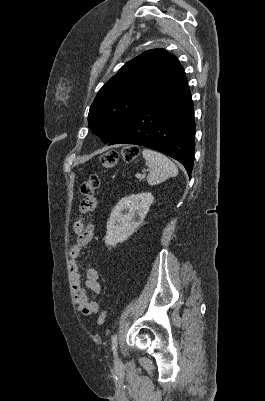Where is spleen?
<instances>
[{
  "instance_id": "spleen-1",
  "label": "spleen",
  "mask_w": 265,
  "mask_h": 401,
  "mask_svg": "<svg viewBox=\"0 0 265 401\" xmlns=\"http://www.w3.org/2000/svg\"><path fill=\"white\" fill-rule=\"evenodd\" d=\"M144 158H146V164L149 168V174L147 176L148 184L155 186L159 182H164L169 176H177L178 168L170 158L156 152V150H150V148H144L142 150Z\"/></svg>"
}]
</instances>
